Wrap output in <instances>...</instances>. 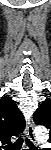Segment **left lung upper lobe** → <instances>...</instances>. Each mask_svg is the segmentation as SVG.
I'll use <instances>...</instances> for the list:
<instances>
[{
	"instance_id": "left-lung-upper-lobe-1",
	"label": "left lung upper lobe",
	"mask_w": 51,
	"mask_h": 150,
	"mask_svg": "<svg viewBox=\"0 0 51 150\" xmlns=\"http://www.w3.org/2000/svg\"><path fill=\"white\" fill-rule=\"evenodd\" d=\"M37 125H43L51 130V99L45 100L34 113Z\"/></svg>"
}]
</instances>
